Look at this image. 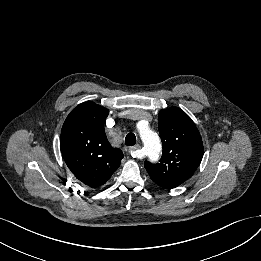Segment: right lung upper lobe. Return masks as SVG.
<instances>
[{
	"label": "right lung upper lobe",
	"mask_w": 261,
	"mask_h": 261,
	"mask_svg": "<svg viewBox=\"0 0 261 261\" xmlns=\"http://www.w3.org/2000/svg\"><path fill=\"white\" fill-rule=\"evenodd\" d=\"M109 110L93 102L78 105L66 118L60 149L68 168L82 183L104 185L121 164L123 153L107 140L104 122Z\"/></svg>",
	"instance_id": "right-lung-upper-lobe-1"
}]
</instances>
